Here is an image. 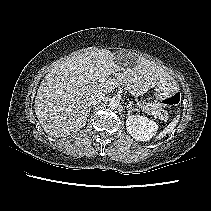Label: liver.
Instances as JSON below:
<instances>
[{
	"mask_svg": "<svg viewBox=\"0 0 211 211\" xmlns=\"http://www.w3.org/2000/svg\"><path fill=\"white\" fill-rule=\"evenodd\" d=\"M114 74L116 79L105 78ZM172 79L162 66L144 57L137 58L133 67H122L111 51L92 50L69 57L49 71L37 91L34 109L46 133L65 137L85 126L91 95L110 93L119 85L132 94L139 89L144 94Z\"/></svg>",
	"mask_w": 211,
	"mask_h": 211,
	"instance_id": "obj_1",
	"label": "liver"
}]
</instances>
